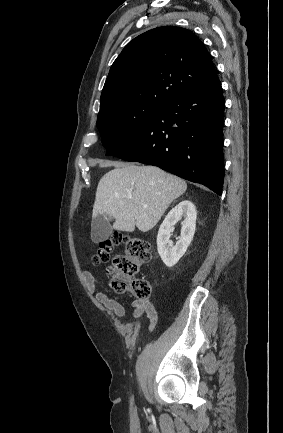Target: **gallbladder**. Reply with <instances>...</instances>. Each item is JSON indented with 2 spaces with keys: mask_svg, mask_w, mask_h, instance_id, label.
I'll use <instances>...</instances> for the list:
<instances>
[{
  "mask_svg": "<svg viewBox=\"0 0 283 433\" xmlns=\"http://www.w3.org/2000/svg\"><path fill=\"white\" fill-rule=\"evenodd\" d=\"M113 217H109V214H97L95 219H92L91 223V239L93 243H102L109 239L112 233V227L110 221Z\"/></svg>",
  "mask_w": 283,
  "mask_h": 433,
  "instance_id": "gallbladder-1",
  "label": "gallbladder"
}]
</instances>
